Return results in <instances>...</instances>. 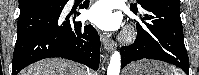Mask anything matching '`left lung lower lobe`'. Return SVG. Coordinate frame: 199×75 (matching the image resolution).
Masks as SVG:
<instances>
[{"mask_svg": "<svg viewBox=\"0 0 199 75\" xmlns=\"http://www.w3.org/2000/svg\"><path fill=\"white\" fill-rule=\"evenodd\" d=\"M137 38L121 48V69L133 61L161 60L180 67L189 75V59L183 40L179 0H149L141 5Z\"/></svg>", "mask_w": 199, "mask_h": 75, "instance_id": "obj_1", "label": "left lung lower lobe"}]
</instances>
